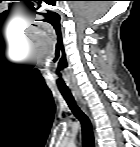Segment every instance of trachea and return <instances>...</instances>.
I'll return each instance as SVG.
<instances>
[{
  "label": "trachea",
  "instance_id": "3493384b",
  "mask_svg": "<svg viewBox=\"0 0 140 147\" xmlns=\"http://www.w3.org/2000/svg\"><path fill=\"white\" fill-rule=\"evenodd\" d=\"M62 96L66 100L73 114L81 122L83 146L84 147H95L94 134H93V129H92L90 120L76 105L75 100L71 93L62 92Z\"/></svg>",
  "mask_w": 140,
  "mask_h": 147
}]
</instances>
